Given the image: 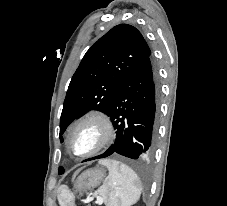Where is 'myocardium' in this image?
<instances>
[{
    "instance_id": "1",
    "label": "myocardium",
    "mask_w": 227,
    "mask_h": 206,
    "mask_svg": "<svg viewBox=\"0 0 227 206\" xmlns=\"http://www.w3.org/2000/svg\"><path fill=\"white\" fill-rule=\"evenodd\" d=\"M88 123H93L98 126L100 130V137L94 148H92L88 152L78 154L72 149V136L80 127ZM114 135V125L110 116L102 110H92L80 117L78 121L72 126L67 136V147L69 151L77 157H90L106 148L112 142Z\"/></svg>"
}]
</instances>
